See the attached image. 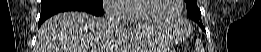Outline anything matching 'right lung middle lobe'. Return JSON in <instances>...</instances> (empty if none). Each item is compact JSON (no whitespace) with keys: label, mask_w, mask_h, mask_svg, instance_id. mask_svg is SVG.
I'll list each match as a JSON object with an SVG mask.
<instances>
[{"label":"right lung middle lobe","mask_w":261,"mask_h":52,"mask_svg":"<svg viewBox=\"0 0 261 52\" xmlns=\"http://www.w3.org/2000/svg\"><path fill=\"white\" fill-rule=\"evenodd\" d=\"M94 2H96V3H102V4H103V1H102V0H96V1H94Z\"/></svg>","instance_id":"right-lung-middle-lobe-1"}]
</instances>
